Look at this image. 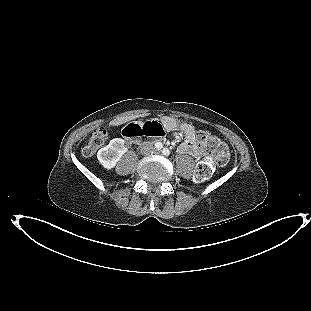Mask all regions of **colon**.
<instances>
[{"label":"colon","mask_w":311,"mask_h":311,"mask_svg":"<svg viewBox=\"0 0 311 311\" xmlns=\"http://www.w3.org/2000/svg\"><path fill=\"white\" fill-rule=\"evenodd\" d=\"M136 129H142L144 133L149 130L157 137L164 135V130L159 125H156L153 128L133 126L127 129V133ZM197 137L206 157L197 164L194 180L196 182H203L212 175L214 165L224 167L228 164L230 152L224 142L207 132L199 131ZM106 139V131L104 129L97 130L89 137L87 144L82 148V155L85 157L93 156L97 150L105 144Z\"/></svg>","instance_id":"colon-1"}]
</instances>
